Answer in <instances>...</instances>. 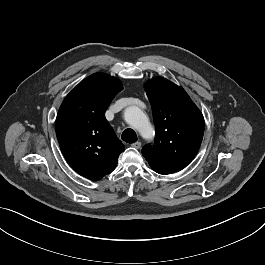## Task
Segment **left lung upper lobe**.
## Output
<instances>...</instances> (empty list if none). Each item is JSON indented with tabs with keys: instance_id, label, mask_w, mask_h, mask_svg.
Here are the masks:
<instances>
[{
	"instance_id": "5c2ea615",
	"label": "left lung upper lobe",
	"mask_w": 265,
	"mask_h": 265,
	"mask_svg": "<svg viewBox=\"0 0 265 265\" xmlns=\"http://www.w3.org/2000/svg\"><path fill=\"white\" fill-rule=\"evenodd\" d=\"M152 107L156 136L142 154L159 174L185 168L197 154L204 133V118L187 93L169 80L156 77L145 84Z\"/></svg>"
}]
</instances>
